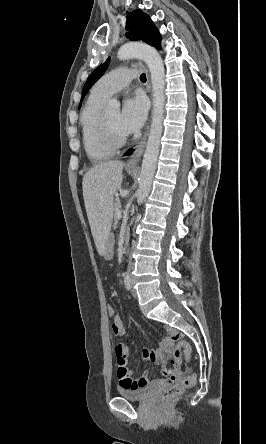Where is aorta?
Returning <instances> with one entry per match:
<instances>
[{
	"label": "aorta",
	"mask_w": 266,
	"mask_h": 444,
	"mask_svg": "<svg viewBox=\"0 0 266 444\" xmlns=\"http://www.w3.org/2000/svg\"><path fill=\"white\" fill-rule=\"evenodd\" d=\"M118 58L121 60L139 58L143 60L151 75L153 111L151 128L145 153L142 160L139 177L137 199L142 202L149 195L160 150V139L163 132L164 105H165V69L160 54L153 47L142 43H128L118 50ZM107 109L118 112L120 103L112 99L107 104Z\"/></svg>",
	"instance_id": "aorta-1"
}]
</instances>
